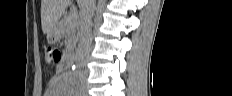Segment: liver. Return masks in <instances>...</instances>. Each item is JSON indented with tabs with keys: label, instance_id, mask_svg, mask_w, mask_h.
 Segmentation results:
<instances>
[{
	"label": "liver",
	"instance_id": "6515ba94",
	"mask_svg": "<svg viewBox=\"0 0 232 96\" xmlns=\"http://www.w3.org/2000/svg\"><path fill=\"white\" fill-rule=\"evenodd\" d=\"M70 0H41V26L44 34L58 26ZM81 4V0H78Z\"/></svg>",
	"mask_w": 232,
	"mask_h": 96
}]
</instances>
